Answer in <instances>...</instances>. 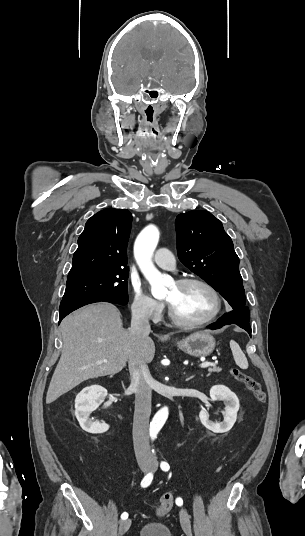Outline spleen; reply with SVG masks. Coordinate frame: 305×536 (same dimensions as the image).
Returning a JSON list of instances; mask_svg holds the SVG:
<instances>
[{
	"label": "spleen",
	"mask_w": 305,
	"mask_h": 536,
	"mask_svg": "<svg viewBox=\"0 0 305 536\" xmlns=\"http://www.w3.org/2000/svg\"><path fill=\"white\" fill-rule=\"evenodd\" d=\"M230 348L231 352L233 354V358L235 360V364L241 368V370H247L248 368V362L245 354H243L240 346L234 342V340H230Z\"/></svg>",
	"instance_id": "spleen-1"
}]
</instances>
